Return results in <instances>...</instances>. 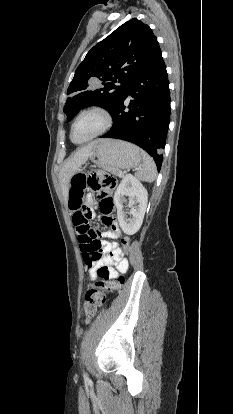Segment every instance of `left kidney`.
<instances>
[{
  "instance_id": "obj_1",
  "label": "left kidney",
  "mask_w": 233,
  "mask_h": 414,
  "mask_svg": "<svg viewBox=\"0 0 233 414\" xmlns=\"http://www.w3.org/2000/svg\"><path fill=\"white\" fill-rule=\"evenodd\" d=\"M125 196L129 197L128 214L123 211ZM114 204L117 208V218L122 231L127 235L135 234L141 227L145 215L148 193L141 182L131 174H127L119 184L114 194Z\"/></svg>"
}]
</instances>
